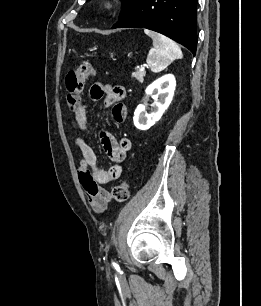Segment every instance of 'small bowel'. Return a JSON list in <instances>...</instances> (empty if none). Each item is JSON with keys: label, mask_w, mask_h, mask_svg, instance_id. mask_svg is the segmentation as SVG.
<instances>
[{"label": "small bowel", "mask_w": 261, "mask_h": 306, "mask_svg": "<svg viewBox=\"0 0 261 306\" xmlns=\"http://www.w3.org/2000/svg\"><path fill=\"white\" fill-rule=\"evenodd\" d=\"M126 96L122 86L96 83L90 88L92 100L104 98L106 108L112 107V118L116 123H122L126 118V107L121 101ZM74 125L80 136L75 139V144L81 152L78 168L79 182L88 198L92 209L101 213L105 211L111 200L109 191L102 187L117 180L123 170L122 162L126 159L131 149V141L127 137L116 139L110 133L101 131L99 134L101 144L114 165L107 169L102 168L93 148L86 142L83 135L88 132V106L80 104L74 111Z\"/></svg>", "instance_id": "small-bowel-1"}]
</instances>
